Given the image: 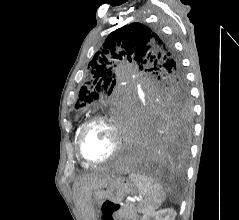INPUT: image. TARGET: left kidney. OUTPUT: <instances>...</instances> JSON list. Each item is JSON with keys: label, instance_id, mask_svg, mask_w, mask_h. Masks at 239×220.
Wrapping results in <instances>:
<instances>
[{"label": "left kidney", "instance_id": "left-kidney-1", "mask_svg": "<svg viewBox=\"0 0 239 220\" xmlns=\"http://www.w3.org/2000/svg\"><path fill=\"white\" fill-rule=\"evenodd\" d=\"M176 211L174 209H163L145 213L141 220H175Z\"/></svg>", "mask_w": 239, "mask_h": 220}]
</instances>
